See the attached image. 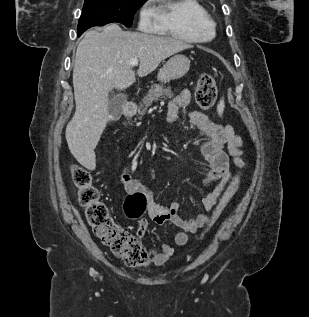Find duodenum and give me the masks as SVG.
<instances>
[{"label": "duodenum", "mask_w": 309, "mask_h": 317, "mask_svg": "<svg viewBox=\"0 0 309 317\" xmlns=\"http://www.w3.org/2000/svg\"><path fill=\"white\" fill-rule=\"evenodd\" d=\"M136 110V106L134 103H128L127 105H125V107L123 108V115L126 118H130L134 115Z\"/></svg>", "instance_id": "duodenum-1"}]
</instances>
